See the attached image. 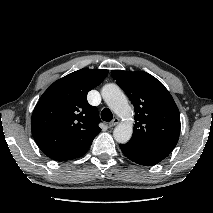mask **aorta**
<instances>
[{"instance_id":"1","label":"aorta","mask_w":213,"mask_h":213,"mask_svg":"<svg viewBox=\"0 0 213 213\" xmlns=\"http://www.w3.org/2000/svg\"><path fill=\"white\" fill-rule=\"evenodd\" d=\"M101 94L106 104L117 116L129 119L119 123L113 131V137L118 143H127L133 133V111L127 97L116 84H106Z\"/></svg>"}]
</instances>
